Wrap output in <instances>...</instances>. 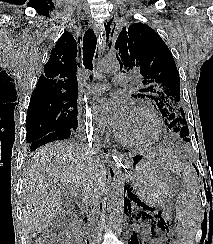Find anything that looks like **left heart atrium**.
Returning <instances> with one entry per match:
<instances>
[{
	"label": "left heart atrium",
	"mask_w": 213,
	"mask_h": 244,
	"mask_svg": "<svg viewBox=\"0 0 213 244\" xmlns=\"http://www.w3.org/2000/svg\"><path fill=\"white\" fill-rule=\"evenodd\" d=\"M91 115L96 123L119 133L128 122L131 110L115 98H97L90 104Z\"/></svg>",
	"instance_id": "39dd6f15"
}]
</instances>
